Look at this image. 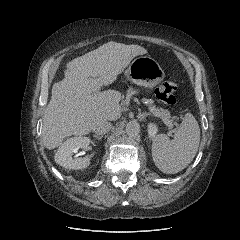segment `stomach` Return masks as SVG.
<instances>
[{
	"label": "stomach",
	"mask_w": 240,
	"mask_h": 240,
	"mask_svg": "<svg viewBox=\"0 0 240 240\" xmlns=\"http://www.w3.org/2000/svg\"><path fill=\"white\" fill-rule=\"evenodd\" d=\"M125 76L133 83L147 89H152L160 84L164 77V70L160 64L150 56L135 58L124 72Z\"/></svg>",
	"instance_id": "obj_1"
}]
</instances>
